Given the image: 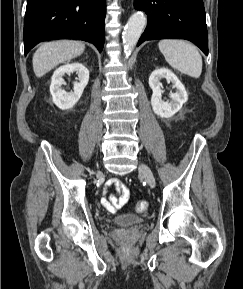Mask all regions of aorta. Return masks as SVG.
I'll return each mask as SVG.
<instances>
[{
    "instance_id": "aorta-1",
    "label": "aorta",
    "mask_w": 243,
    "mask_h": 289,
    "mask_svg": "<svg viewBox=\"0 0 243 289\" xmlns=\"http://www.w3.org/2000/svg\"><path fill=\"white\" fill-rule=\"evenodd\" d=\"M146 23L147 18L142 12H136L129 18L122 34L124 51L126 54H130L134 49Z\"/></svg>"
}]
</instances>
